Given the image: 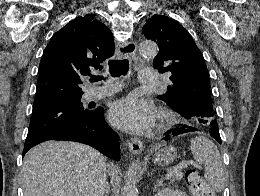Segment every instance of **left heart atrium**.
<instances>
[{
	"label": "left heart atrium",
	"mask_w": 260,
	"mask_h": 196,
	"mask_svg": "<svg viewBox=\"0 0 260 196\" xmlns=\"http://www.w3.org/2000/svg\"><path fill=\"white\" fill-rule=\"evenodd\" d=\"M109 117L115 126L129 132L141 133L152 126L155 109L145 100L127 96L114 102Z\"/></svg>",
	"instance_id": "1"
}]
</instances>
